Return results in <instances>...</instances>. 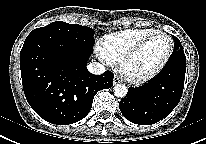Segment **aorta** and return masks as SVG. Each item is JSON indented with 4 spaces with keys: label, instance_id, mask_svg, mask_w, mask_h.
<instances>
[{
    "label": "aorta",
    "instance_id": "obj_1",
    "mask_svg": "<svg viewBox=\"0 0 206 144\" xmlns=\"http://www.w3.org/2000/svg\"><path fill=\"white\" fill-rule=\"evenodd\" d=\"M114 95L118 98H123L127 95L128 89L125 85L117 84L113 87Z\"/></svg>",
    "mask_w": 206,
    "mask_h": 144
}]
</instances>
